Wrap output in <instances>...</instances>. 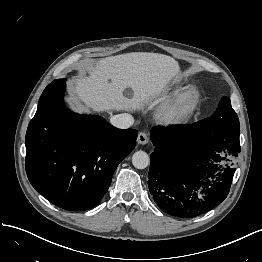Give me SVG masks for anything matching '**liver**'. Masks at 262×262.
Masks as SVG:
<instances>
[{"label": "liver", "instance_id": "6515ba94", "mask_svg": "<svg viewBox=\"0 0 262 262\" xmlns=\"http://www.w3.org/2000/svg\"><path fill=\"white\" fill-rule=\"evenodd\" d=\"M90 76L77 79L72 98L85 112L139 110L164 91L180 74L178 62L167 55L132 52L100 59ZM130 88L132 96L123 94Z\"/></svg>", "mask_w": 262, "mask_h": 262}]
</instances>
